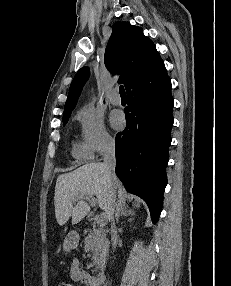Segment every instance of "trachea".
I'll return each mask as SVG.
<instances>
[{"label":"trachea","instance_id":"obj_1","mask_svg":"<svg viewBox=\"0 0 231 286\" xmlns=\"http://www.w3.org/2000/svg\"><path fill=\"white\" fill-rule=\"evenodd\" d=\"M119 92H120V95H125V90H124V86L123 85H121L119 87Z\"/></svg>","mask_w":231,"mask_h":286}]
</instances>
